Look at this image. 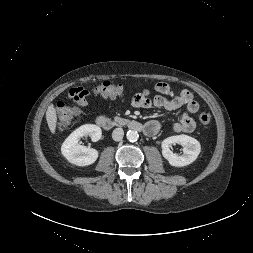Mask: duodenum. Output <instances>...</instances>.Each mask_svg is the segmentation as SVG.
Here are the masks:
<instances>
[{"label": "duodenum", "mask_w": 253, "mask_h": 253, "mask_svg": "<svg viewBox=\"0 0 253 253\" xmlns=\"http://www.w3.org/2000/svg\"><path fill=\"white\" fill-rule=\"evenodd\" d=\"M96 122H97L98 126H100L104 130H111V129L115 128V126H116L115 121H113L112 119L107 118L105 116H99L96 119ZM128 127H129V129L134 130V131H145V129H146L145 126L138 121H130L128 123Z\"/></svg>", "instance_id": "obj_1"}]
</instances>
